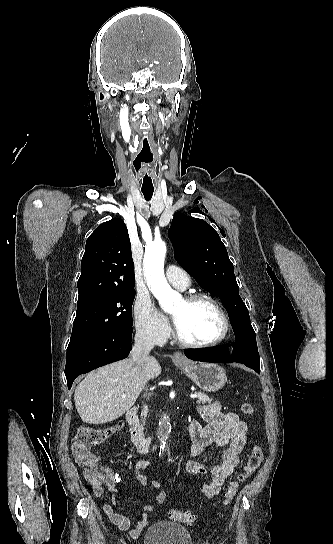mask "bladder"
I'll use <instances>...</instances> for the list:
<instances>
[{"mask_svg":"<svg viewBox=\"0 0 333 544\" xmlns=\"http://www.w3.org/2000/svg\"><path fill=\"white\" fill-rule=\"evenodd\" d=\"M143 544H193L187 528L167 521L150 525L144 535Z\"/></svg>","mask_w":333,"mask_h":544,"instance_id":"bladder-1","label":"bladder"}]
</instances>
